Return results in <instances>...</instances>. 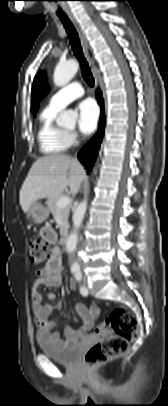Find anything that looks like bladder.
Returning a JSON list of instances; mask_svg holds the SVG:
<instances>
[{"label":"bladder","mask_w":168,"mask_h":406,"mask_svg":"<svg viewBox=\"0 0 168 406\" xmlns=\"http://www.w3.org/2000/svg\"><path fill=\"white\" fill-rule=\"evenodd\" d=\"M37 343L41 351L52 360L64 364L73 365L77 362L80 355L78 346H57L51 342L37 336Z\"/></svg>","instance_id":"bladder-1"}]
</instances>
